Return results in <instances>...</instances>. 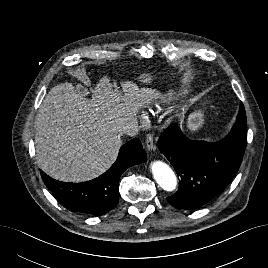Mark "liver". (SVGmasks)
<instances>
[{
  "instance_id": "6515ba94",
  "label": "liver",
  "mask_w": 268,
  "mask_h": 268,
  "mask_svg": "<svg viewBox=\"0 0 268 268\" xmlns=\"http://www.w3.org/2000/svg\"><path fill=\"white\" fill-rule=\"evenodd\" d=\"M122 93L103 78L91 99L71 83L53 87L35 121L37 162L43 172L64 182H83L103 174L116 160L123 127L137 124V112L157 93L122 82Z\"/></svg>"
}]
</instances>
